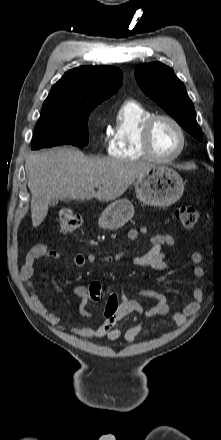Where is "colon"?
<instances>
[{
  "mask_svg": "<svg viewBox=\"0 0 221 440\" xmlns=\"http://www.w3.org/2000/svg\"><path fill=\"white\" fill-rule=\"evenodd\" d=\"M176 219L185 227L193 228L199 219V213L197 209L193 206L182 205L179 206L175 211ZM82 224L81 215L71 209L62 208L59 210L57 215V225L58 231L61 235H68L73 231L77 230ZM103 293V288L99 282H92L89 288V302H98ZM120 305V298L106 297L104 305L101 307V314L103 321H113L114 314Z\"/></svg>",
  "mask_w": 221,
  "mask_h": 440,
  "instance_id": "5ec220e1",
  "label": "colon"
}]
</instances>
